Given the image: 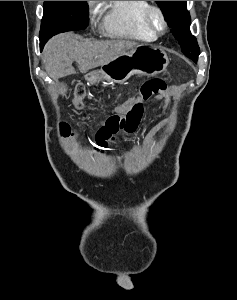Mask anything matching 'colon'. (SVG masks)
I'll use <instances>...</instances> for the list:
<instances>
[{
    "label": "colon",
    "instance_id": "colon-1",
    "mask_svg": "<svg viewBox=\"0 0 237 300\" xmlns=\"http://www.w3.org/2000/svg\"><path fill=\"white\" fill-rule=\"evenodd\" d=\"M167 90L166 82L161 78H152L145 81L138 93L136 99L125 114H113L109 116L103 126L96 134L95 144L98 150H104L111 144L120 133L130 134L136 131L143 117V102L153 97H159ZM86 90L83 85H77L74 90L73 105L76 110L83 108V99ZM64 138L71 139L74 137L73 131L69 126H62Z\"/></svg>",
    "mask_w": 237,
    "mask_h": 300
}]
</instances>
